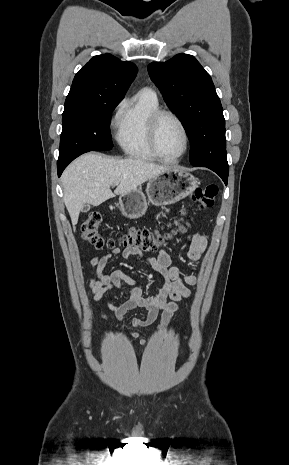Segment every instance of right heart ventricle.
<instances>
[{"instance_id": "e07e8e85", "label": "right heart ventricle", "mask_w": 289, "mask_h": 465, "mask_svg": "<svg viewBox=\"0 0 289 465\" xmlns=\"http://www.w3.org/2000/svg\"><path fill=\"white\" fill-rule=\"evenodd\" d=\"M159 109L157 95L150 89L140 90L124 103L117 118V141L126 155L145 161L157 159L149 145L148 125Z\"/></svg>"}]
</instances>
